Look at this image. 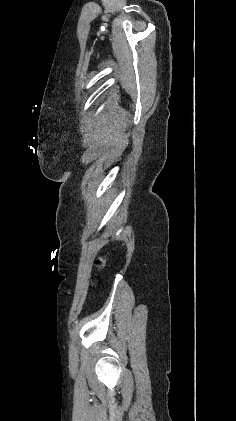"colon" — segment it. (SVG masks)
Segmentation results:
<instances>
[{
	"label": "colon",
	"mask_w": 236,
	"mask_h": 421,
	"mask_svg": "<svg viewBox=\"0 0 236 421\" xmlns=\"http://www.w3.org/2000/svg\"><path fill=\"white\" fill-rule=\"evenodd\" d=\"M105 265V257H98L96 259V266L102 268Z\"/></svg>",
	"instance_id": "obj_1"
}]
</instances>
